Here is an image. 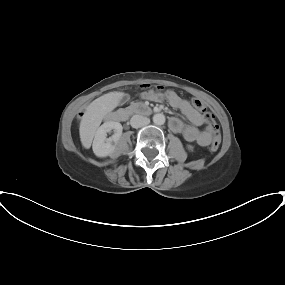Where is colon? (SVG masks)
I'll list each match as a JSON object with an SVG mask.
<instances>
[{"mask_svg":"<svg viewBox=\"0 0 285 285\" xmlns=\"http://www.w3.org/2000/svg\"><path fill=\"white\" fill-rule=\"evenodd\" d=\"M141 87L142 89L146 90V89H149L150 86L148 84H143ZM161 89L162 87H159V86L156 87V90H161ZM192 104L195 108H197L203 113V118L207 124V128L211 136L212 150L218 149L221 143V134H220L219 126L217 122L215 121L214 114L209 110L206 104L198 98H193Z\"/></svg>","mask_w":285,"mask_h":285,"instance_id":"obj_1","label":"colon"}]
</instances>
